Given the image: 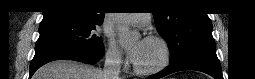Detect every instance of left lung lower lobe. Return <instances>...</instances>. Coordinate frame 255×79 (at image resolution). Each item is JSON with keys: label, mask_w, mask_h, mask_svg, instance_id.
Wrapping results in <instances>:
<instances>
[{"label": "left lung lower lobe", "mask_w": 255, "mask_h": 79, "mask_svg": "<svg viewBox=\"0 0 255 79\" xmlns=\"http://www.w3.org/2000/svg\"><path fill=\"white\" fill-rule=\"evenodd\" d=\"M182 70H198L211 75L215 79H223L215 48H201L196 50L181 60L171 63L166 69L156 75L150 76L148 79H159Z\"/></svg>", "instance_id": "1"}]
</instances>
